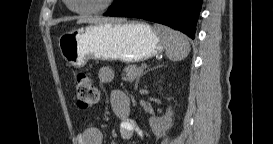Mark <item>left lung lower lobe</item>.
<instances>
[{"label": "left lung lower lobe", "instance_id": "obj_1", "mask_svg": "<svg viewBox=\"0 0 273 144\" xmlns=\"http://www.w3.org/2000/svg\"><path fill=\"white\" fill-rule=\"evenodd\" d=\"M201 6L202 0H115L104 15L154 21L194 39Z\"/></svg>", "mask_w": 273, "mask_h": 144}]
</instances>
